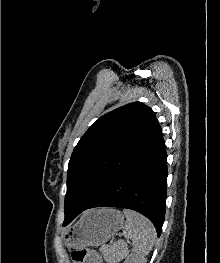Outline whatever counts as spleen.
<instances>
[{"label": "spleen", "instance_id": "1", "mask_svg": "<svg viewBox=\"0 0 220 263\" xmlns=\"http://www.w3.org/2000/svg\"><path fill=\"white\" fill-rule=\"evenodd\" d=\"M126 216V223L123 229V235L133 243L131 252L143 257L148 255L155 244L156 230L153 224L141 214L129 210H123ZM123 252H127L125 248Z\"/></svg>", "mask_w": 220, "mask_h": 263}]
</instances>
